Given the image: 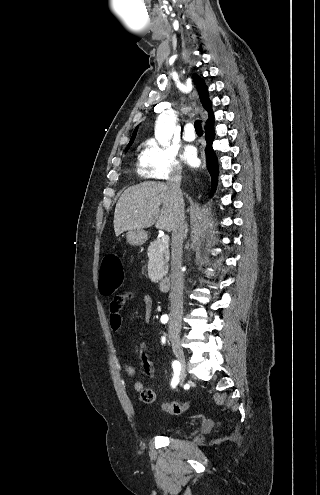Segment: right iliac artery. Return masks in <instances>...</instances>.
<instances>
[{
	"mask_svg": "<svg viewBox=\"0 0 320 495\" xmlns=\"http://www.w3.org/2000/svg\"><path fill=\"white\" fill-rule=\"evenodd\" d=\"M168 316L165 314V315H162L160 320L163 324H166L168 322ZM172 367H173V371H174V377L172 379V382H171V385L172 387H175L177 384H178V381H179V374H180V369H181V365L179 363V361L177 360H174L173 363H172Z\"/></svg>",
	"mask_w": 320,
	"mask_h": 495,
	"instance_id": "1",
	"label": "right iliac artery"
}]
</instances>
